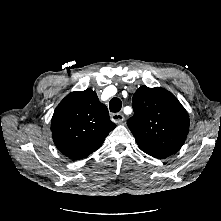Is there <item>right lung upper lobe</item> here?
<instances>
[{
	"label": "right lung upper lobe",
	"instance_id": "obj_1",
	"mask_svg": "<svg viewBox=\"0 0 221 221\" xmlns=\"http://www.w3.org/2000/svg\"><path fill=\"white\" fill-rule=\"evenodd\" d=\"M115 127L107 107L91 89L67 95L55 109L51 121L56 147L74 160L96 151Z\"/></svg>",
	"mask_w": 221,
	"mask_h": 221
}]
</instances>
